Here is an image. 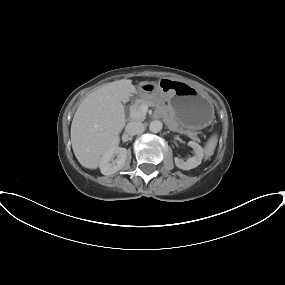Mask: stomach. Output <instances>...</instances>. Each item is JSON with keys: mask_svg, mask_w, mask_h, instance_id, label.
<instances>
[{"mask_svg": "<svg viewBox=\"0 0 285 285\" xmlns=\"http://www.w3.org/2000/svg\"><path fill=\"white\" fill-rule=\"evenodd\" d=\"M139 95L154 101L166 100L174 118L183 128L202 129L214 118L213 105L206 96L191 85L170 78L140 85Z\"/></svg>", "mask_w": 285, "mask_h": 285, "instance_id": "1", "label": "stomach"}]
</instances>
